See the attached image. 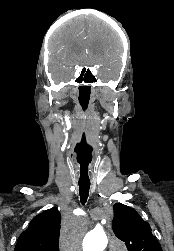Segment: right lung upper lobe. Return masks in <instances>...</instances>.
Here are the masks:
<instances>
[{
	"mask_svg": "<svg viewBox=\"0 0 174 251\" xmlns=\"http://www.w3.org/2000/svg\"><path fill=\"white\" fill-rule=\"evenodd\" d=\"M60 213L55 207L35 216L14 251H59Z\"/></svg>",
	"mask_w": 174,
	"mask_h": 251,
	"instance_id": "right-lung-upper-lobe-1",
	"label": "right lung upper lobe"
}]
</instances>
